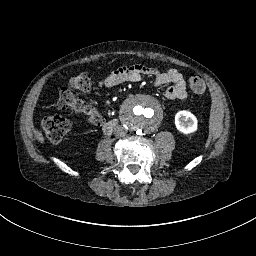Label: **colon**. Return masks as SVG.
<instances>
[{"label": "colon", "instance_id": "obj_1", "mask_svg": "<svg viewBox=\"0 0 256 256\" xmlns=\"http://www.w3.org/2000/svg\"><path fill=\"white\" fill-rule=\"evenodd\" d=\"M187 82L195 94L205 92L203 77L195 72H191L186 77ZM94 84L92 73H81L70 79L69 87L59 90L57 108L60 110H70L74 113L82 114L92 125H100L102 120L94 111L93 106L86 100L75 95V91H89ZM42 127L47 139L51 143H61L71 128L67 119L58 116H46L43 119Z\"/></svg>", "mask_w": 256, "mask_h": 256}]
</instances>
